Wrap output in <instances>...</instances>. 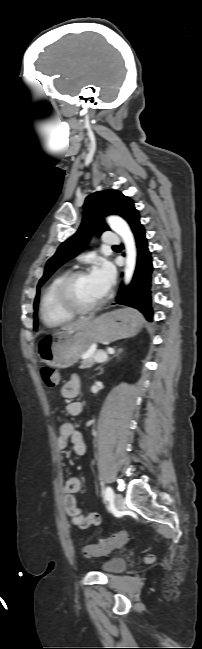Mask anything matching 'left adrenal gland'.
I'll list each match as a JSON object with an SVG mask.
<instances>
[{"label":"left adrenal gland","mask_w":202,"mask_h":649,"mask_svg":"<svg viewBox=\"0 0 202 649\" xmlns=\"http://www.w3.org/2000/svg\"><path fill=\"white\" fill-rule=\"evenodd\" d=\"M122 352H123V349H121V348L118 349V352H117V354H116L115 356H116V357H119L120 354H121ZM108 361H109V359H108L106 362H108ZM97 370H101V371H102V366L97 367Z\"/></svg>","instance_id":"left-adrenal-gland-1"}]
</instances>
